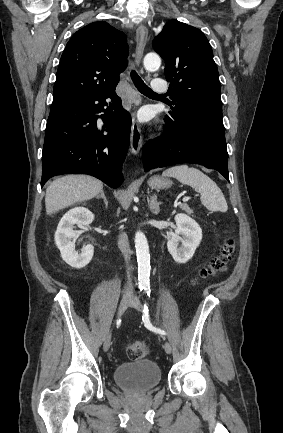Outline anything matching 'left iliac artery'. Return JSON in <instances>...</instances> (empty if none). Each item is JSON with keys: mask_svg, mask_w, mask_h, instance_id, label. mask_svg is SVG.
I'll use <instances>...</instances> for the list:
<instances>
[{"mask_svg": "<svg viewBox=\"0 0 283 433\" xmlns=\"http://www.w3.org/2000/svg\"><path fill=\"white\" fill-rule=\"evenodd\" d=\"M145 290H146L147 296L150 297V288H149V287H148V288H145ZM142 320H143V322L145 323V325H146L149 329H151V330H153L154 332H157V333H159V334H161V335H166V331H164V330L161 329V328L153 327L152 324L150 323L149 310H148L147 303L144 304Z\"/></svg>", "mask_w": 283, "mask_h": 433, "instance_id": "44dca946", "label": "left iliac artery"}]
</instances>
